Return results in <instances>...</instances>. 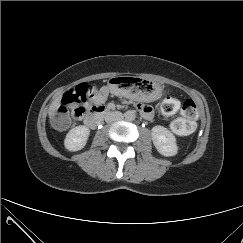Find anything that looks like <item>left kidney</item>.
I'll list each match as a JSON object with an SVG mask.
<instances>
[{"mask_svg":"<svg viewBox=\"0 0 243 243\" xmlns=\"http://www.w3.org/2000/svg\"><path fill=\"white\" fill-rule=\"evenodd\" d=\"M151 131L153 144L161 155L171 157L177 154L178 147L173 133L160 125L154 126Z\"/></svg>","mask_w":243,"mask_h":243,"instance_id":"left-kidney-1","label":"left kidney"}]
</instances>
